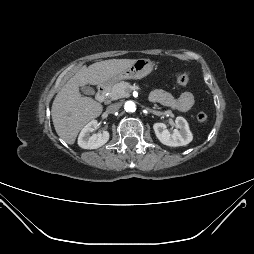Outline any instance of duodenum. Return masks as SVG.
Here are the masks:
<instances>
[{
    "label": "duodenum",
    "mask_w": 254,
    "mask_h": 254,
    "mask_svg": "<svg viewBox=\"0 0 254 254\" xmlns=\"http://www.w3.org/2000/svg\"><path fill=\"white\" fill-rule=\"evenodd\" d=\"M107 93H108V87L106 85H100L97 89L96 98L100 102H103L107 97Z\"/></svg>",
    "instance_id": "obj_1"
}]
</instances>
